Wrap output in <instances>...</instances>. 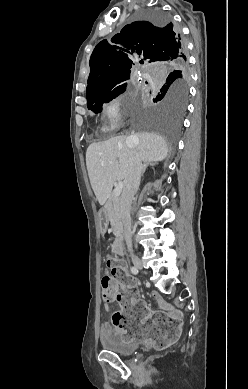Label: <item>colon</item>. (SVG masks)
Listing matches in <instances>:
<instances>
[{
	"mask_svg": "<svg viewBox=\"0 0 248 389\" xmlns=\"http://www.w3.org/2000/svg\"><path fill=\"white\" fill-rule=\"evenodd\" d=\"M107 266L110 272L101 281L103 298L120 302L122 309L112 315V323L123 333L124 344H153L155 350L176 344L179 319L170 311H152L150 315L149 305L141 301L137 279L113 259L107 261Z\"/></svg>",
	"mask_w": 248,
	"mask_h": 389,
	"instance_id": "5ec220e1",
	"label": "colon"
}]
</instances>
